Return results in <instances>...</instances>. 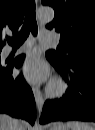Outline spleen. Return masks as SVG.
Returning a JSON list of instances; mask_svg holds the SVG:
<instances>
[{
	"mask_svg": "<svg viewBox=\"0 0 95 130\" xmlns=\"http://www.w3.org/2000/svg\"><path fill=\"white\" fill-rule=\"evenodd\" d=\"M65 126L68 130H95L89 123L81 121H68Z\"/></svg>",
	"mask_w": 95,
	"mask_h": 130,
	"instance_id": "obj_1",
	"label": "spleen"
}]
</instances>
